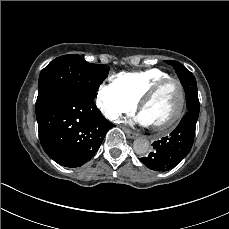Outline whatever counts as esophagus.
Segmentation results:
<instances>
[{"label":"esophagus","instance_id":"34e87169","mask_svg":"<svg viewBox=\"0 0 229 229\" xmlns=\"http://www.w3.org/2000/svg\"><path fill=\"white\" fill-rule=\"evenodd\" d=\"M123 130L127 134V136L130 137L131 139H135L138 136L135 132H133L127 128H123Z\"/></svg>","mask_w":229,"mask_h":229}]
</instances>
